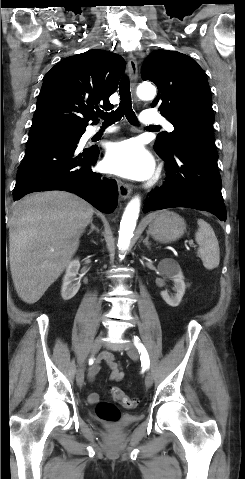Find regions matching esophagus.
Wrapping results in <instances>:
<instances>
[{
  "mask_svg": "<svg viewBox=\"0 0 245 479\" xmlns=\"http://www.w3.org/2000/svg\"><path fill=\"white\" fill-rule=\"evenodd\" d=\"M128 74L132 81L133 90H135L136 79L138 77V65L135 58L130 54L127 64ZM119 195L122 199H127L132 193V186L130 184L118 182Z\"/></svg>",
  "mask_w": 245,
  "mask_h": 479,
  "instance_id": "obj_1",
  "label": "esophagus"
}]
</instances>
